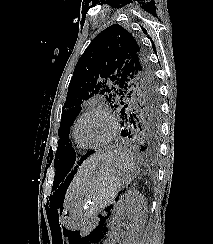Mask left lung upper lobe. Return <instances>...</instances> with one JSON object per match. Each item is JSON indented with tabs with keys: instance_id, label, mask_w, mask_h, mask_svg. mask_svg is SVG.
<instances>
[{
	"instance_id": "left-lung-upper-lobe-1",
	"label": "left lung upper lobe",
	"mask_w": 213,
	"mask_h": 244,
	"mask_svg": "<svg viewBox=\"0 0 213 244\" xmlns=\"http://www.w3.org/2000/svg\"><path fill=\"white\" fill-rule=\"evenodd\" d=\"M96 95L118 109L121 118L158 128L159 95L153 70L132 34L118 24L99 33L75 66L58 130L57 175L68 172L76 159L70 127L81 104Z\"/></svg>"
}]
</instances>
